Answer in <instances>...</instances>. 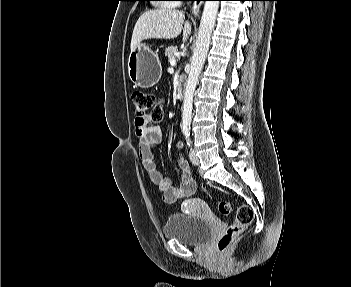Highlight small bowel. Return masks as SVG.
<instances>
[{"mask_svg": "<svg viewBox=\"0 0 351 287\" xmlns=\"http://www.w3.org/2000/svg\"><path fill=\"white\" fill-rule=\"evenodd\" d=\"M151 121L150 117L145 120H135V133L139 139V156L151 181L161 191L163 200L166 203H174L179 199L192 195L197 185L191 174V166L182 155H179L177 160L181 170V182L178 186H173L171 180L160 171L153 149L161 143L162 133L158 126L150 124ZM175 147L180 152L184 144L182 141H177Z\"/></svg>", "mask_w": 351, "mask_h": 287, "instance_id": "obj_1", "label": "small bowel"}]
</instances>
